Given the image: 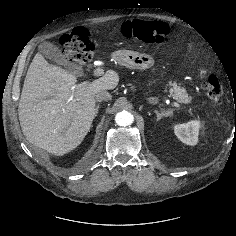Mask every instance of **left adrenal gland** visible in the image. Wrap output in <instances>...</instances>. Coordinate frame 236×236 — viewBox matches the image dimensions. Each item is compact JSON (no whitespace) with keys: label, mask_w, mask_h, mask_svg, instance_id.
<instances>
[{"label":"left adrenal gland","mask_w":236,"mask_h":236,"mask_svg":"<svg viewBox=\"0 0 236 236\" xmlns=\"http://www.w3.org/2000/svg\"><path fill=\"white\" fill-rule=\"evenodd\" d=\"M154 113L156 114L157 116V120H160L162 117H167V116H170L171 115V111L168 110V111H162L161 113L157 110H154Z\"/></svg>","instance_id":"a2214340"}]
</instances>
